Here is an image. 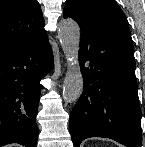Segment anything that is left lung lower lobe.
Returning a JSON list of instances; mask_svg holds the SVG:
<instances>
[{
	"label": "left lung lower lobe",
	"instance_id": "left-lung-lower-lobe-1",
	"mask_svg": "<svg viewBox=\"0 0 145 147\" xmlns=\"http://www.w3.org/2000/svg\"><path fill=\"white\" fill-rule=\"evenodd\" d=\"M80 26L79 63L84 90L70 115L74 147L90 137L113 139L126 147H141V108L129 26L92 23Z\"/></svg>",
	"mask_w": 145,
	"mask_h": 147
}]
</instances>
